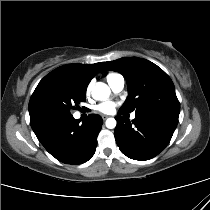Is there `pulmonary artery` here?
Here are the masks:
<instances>
[{"label": "pulmonary artery", "instance_id": "obj_1", "mask_svg": "<svg viewBox=\"0 0 210 210\" xmlns=\"http://www.w3.org/2000/svg\"><path fill=\"white\" fill-rule=\"evenodd\" d=\"M111 89L118 93L120 91H122V89L124 88L125 85V80L121 75H117L116 77L112 78L110 81H108ZM136 117L135 114L131 115V118L134 119Z\"/></svg>", "mask_w": 210, "mask_h": 210}]
</instances>
